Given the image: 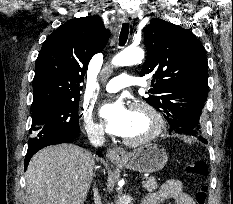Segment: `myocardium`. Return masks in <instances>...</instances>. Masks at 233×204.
Returning <instances> with one entry per match:
<instances>
[{
	"mask_svg": "<svg viewBox=\"0 0 233 204\" xmlns=\"http://www.w3.org/2000/svg\"><path fill=\"white\" fill-rule=\"evenodd\" d=\"M130 109L145 111L150 116L153 122V128L148 134L140 138L129 139V138L123 137L122 140L126 145H129V146L144 145V144L152 142L153 140H155L157 137L161 135V133L164 130L165 122L160 112L152 104L148 103L147 101H143V100L135 101L130 105Z\"/></svg>",
	"mask_w": 233,
	"mask_h": 204,
	"instance_id": "f54148a6",
	"label": "myocardium"
}]
</instances>
